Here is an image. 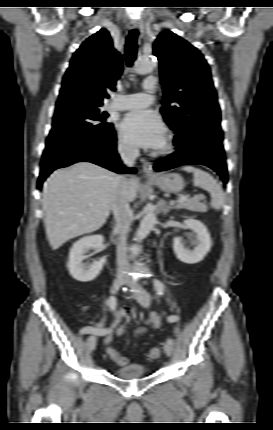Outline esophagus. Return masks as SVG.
I'll return each mask as SVG.
<instances>
[{"instance_id": "34e87169", "label": "esophagus", "mask_w": 273, "mask_h": 430, "mask_svg": "<svg viewBox=\"0 0 273 430\" xmlns=\"http://www.w3.org/2000/svg\"><path fill=\"white\" fill-rule=\"evenodd\" d=\"M138 27H139V23L138 22L131 21L128 24V28L131 29V30L132 29H136ZM142 172L145 175H147V176H153L155 174L154 171H153V167H152L151 162H149L147 160H143L142 161Z\"/></svg>"}]
</instances>
